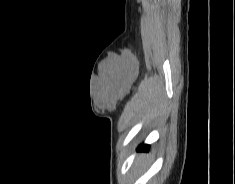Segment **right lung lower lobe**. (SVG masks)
Returning a JSON list of instances; mask_svg holds the SVG:
<instances>
[{
	"label": "right lung lower lobe",
	"mask_w": 235,
	"mask_h": 184,
	"mask_svg": "<svg viewBox=\"0 0 235 184\" xmlns=\"http://www.w3.org/2000/svg\"><path fill=\"white\" fill-rule=\"evenodd\" d=\"M138 151H148L149 150V145L141 144L138 148Z\"/></svg>",
	"instance_id": "1"
}]
</instances>
